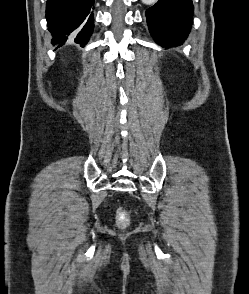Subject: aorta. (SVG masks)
<instances>
[{
    "mask_svg": "<svg viewBox=\"0 0 249 294\" xmlns=\"http://www.w3.org/2000/svg\"><path fill=\"white\" fill-rule=\"evenodd\" d=\"M142 2L146 5H152L157 2V0H142Z\"/></svg>",
    "mask_w": 249,
    "mask_h": 294,
    "instance_id": "762f6f07",
    "label": "aorta"
}]
</instances>
